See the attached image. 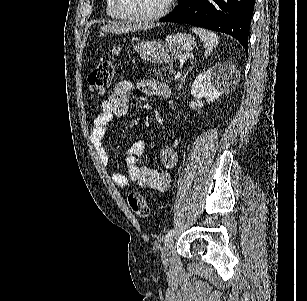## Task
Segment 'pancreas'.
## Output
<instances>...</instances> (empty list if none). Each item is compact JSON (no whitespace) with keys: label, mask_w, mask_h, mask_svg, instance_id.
<instances>
[{"label":"pancreas","mask_w":307,"mask_h":301,"mask_svg":"<svg viewBox=\"0 0 307 301\" xmlns=\"http://www.w3.org/2000/svg\"><path fill=\"white\" fill-rule=\"evenodd\" d=\"M158 72H163L161 78H168V80H178L175 74L176 70H174L172 66H165V68H158Z\"/></svg>","instance_id":"obj_1"}]
</instances>
